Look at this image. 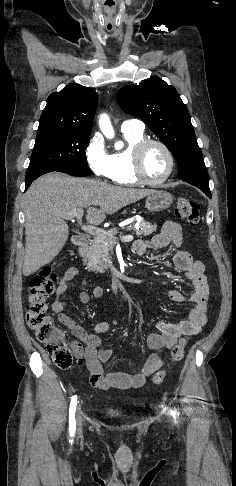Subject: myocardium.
<instances>
[{
	"label": "myocardium",
	"mask_w": 236,
	"mask_h": 486,
	"mask_svg": "<svg viewBox=\"0 0 236 486\" xmlns=\"http://www.w3.org/2000/svg\"><path fill=\"white\" fill-rule=\"evenodd\" d=\"M150 145H157L161 147L165 152L169 162L167 172L162 178L158 180H151L147 178L143 170V155L145 150ZM132 169L134 176L139 181V183L149 186H159L165 183L173 174L175 169V158L171 149L164 142L157 139H144L138 142L132 149Z\"/></svg>",
	"instance_id": "myocardium-1"
}]
</instances>
